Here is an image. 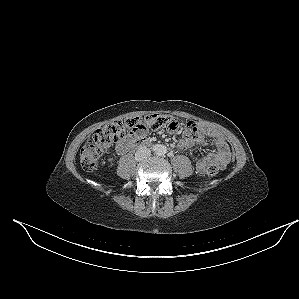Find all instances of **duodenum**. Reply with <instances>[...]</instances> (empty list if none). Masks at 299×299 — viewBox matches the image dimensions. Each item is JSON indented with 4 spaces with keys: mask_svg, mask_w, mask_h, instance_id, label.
Listing matches in <instances>:
<instances>
[{
    "mask_svg": "<svg viewBox=\"0 0 299 299\" xmlns=\"http://www.w3.org/2000/svg\"><path fill=\"white\" fill-rule=\"evenodd\" d=\"M150 144H151V141L148 139H140V140H136L134 142V146H136V147L148 146Z\"/></svg>",
    "mask_w": 299,
    "mask_h": 299,
    "instance_id": "obj_1",
    "label": "duodenum"
}]
</instances>
